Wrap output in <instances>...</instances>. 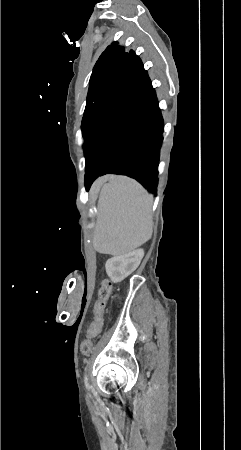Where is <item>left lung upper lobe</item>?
<instances>
[{
	"instance_id": "left-lung-upper-lobe-1",
	"label": "left lung upper lobe",
	"mask_w": 241,
	"mask_h": 450,
	"mask_svg": "<svg viewBox=\"0 0 241 450\" xmlns=\"http://www.w3.org/2000/svg\"><path fill=\"white\" fill-rule=\"evenodd\" d=\"M131 57V51L125 52L124 47L113 43L96 62L89 82L87 104L81 124L84 138L87 137L97 116L121 91Z\"/></svg>"
}]
</instances>
